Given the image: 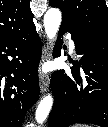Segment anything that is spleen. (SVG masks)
Wrapping results in <instances>:
<instances>
[{"label": "spleen", "mask_w": 108, "mask_h": 127, "mask_svg": "<svg viewBox=\"0 0 108 127\" xmlns=\"http://www.w3.org/2000/svg\"><path fill=\"white\" fill-rule=\"evenodd\" d=\"M72 127H90V126L86 124H75Z\"/></svg>", "instance_id": "spleen-1"}]
</instances>
